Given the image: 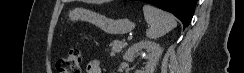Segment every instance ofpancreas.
I'll return each mask as SVG.
<instances>
[{"instance_id": "cf45deb5", "label": "pancreas", "mask_w": 244, "mask_h": 73, "mask_svg": "<svg viewBox=\"0 0 244 73\" xmlns=\"http://www.w3.org/2000/svg\"><path fill=\"white\" fill-rule=\"evenodd\" d=\"M109 46L111 47L110 55L114 56L116 53H120L122 51L126 46V43L124 41L115 40L111 42Z\"/></svg>"}]
</instances>
